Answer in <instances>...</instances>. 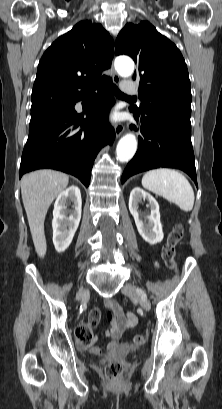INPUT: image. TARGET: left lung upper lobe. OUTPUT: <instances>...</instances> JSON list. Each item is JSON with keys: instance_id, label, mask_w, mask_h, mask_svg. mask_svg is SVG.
I'll use <instances>...</instances> for the list:
<instances>
[{"instance_id": "left-lung-upper-lobe-1", "label": "left lung upper lobe", "mask_w": 222, "mask_h": 409, "mask_svg": "<svg viewBox=\"0 0 222 409\" xmlns=\"http://www.w3.org/2000/svg\"><path fill=\"white\" fill-rule=\"evenodd\" d=\"M115 54H126L138 64L133 79L139 82L143 102L138 113L178 107L191 115V87L179 49L148 21L127 24L116 39Z\"/></svg>"}]
</instances>
